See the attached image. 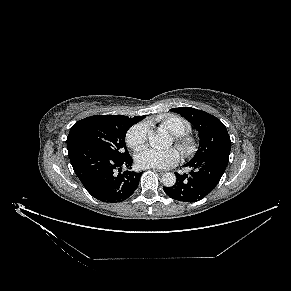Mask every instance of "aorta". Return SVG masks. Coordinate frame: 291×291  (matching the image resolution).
Masks as SVG:
<instances>
[{"instance_id":"obj_1","label":"aorta","mask_w":291,"mask_h":291,"mask_svg":"<svg viewBox=\"0 0 291 291\" xmlns=\"http://www.w3.org/2000/svg\"><path fill=\"white\" fill-rule=\"evenodd\" d=\"M148 140L153 148L169 146L172 142L170 135L166 130L158 129L149 131ZM162 183L166 187H172L176 183V176L173 173H165L162 176Z\"/></svg>"}]
</instances>
